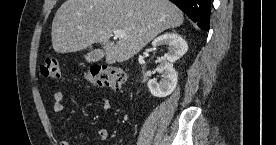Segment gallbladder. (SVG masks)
I'll list each match as a JSON object with an SVG mask.
<instances>
[{
	"mask_svg": "<svg viewBox=\"0 0 276 145\" xmlns=\"http://www.w3.org/2000/svg\"><path fill=\"white\" fill-rule=\"evenodd\" d=\"M103 57H104V52L101 49L91 50L85 55V59L89 63L97 62L101 60Z\"/></svg>",
	"mask_w": 276,
	"mask_h": 145,
	"instance_id": "obj_1",
	"label": "gallbladder"
}]
</instances>
